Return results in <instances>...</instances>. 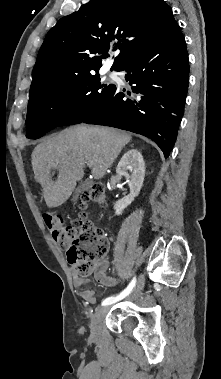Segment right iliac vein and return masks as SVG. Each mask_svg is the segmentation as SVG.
Masks as SVG:
<instances>
[{
    "instance_id": "right-iliac-vein-1",
    "label": "right iliac vein",
    "mask_w": 221,
    "mask_h": 379,
    "mask_svg": "<svg viewBox=\"0 0 221 379\" xmlns=\"http://www.w3.org/2000/svg\"><path fill=\"white\" fill-rule=\"evenodd\" d=\"M143 285H144V279L141 278L136 289L134 290L132 298L137 296V294L143 288ZM108 310H109V307H102V308H99L96 311V313L93 315L92 320H91V324H90L92 337L96 338L99 335L101 321L103 320V318L106 315V313L108 312Z\"/></svg>"
}]
</instances>
